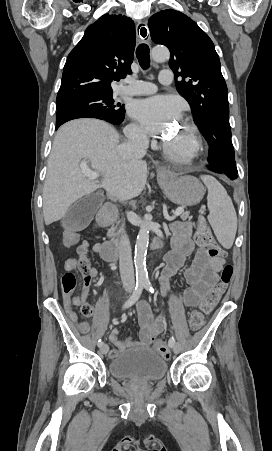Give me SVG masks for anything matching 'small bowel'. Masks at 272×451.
<instances>
[{
    "label": "small bowel",
    "instance_id": "obj_1",
    "mask_svg": "<svg viewBox=\"0 0 272 451\" xmlns=\"http://www.w3.org/2000/svg\"><path fill=\"white\" fill-rule=\"evenodd\" d=\"M172 231V247L173 251L166 255L164 258V264L159 276V284L164 294L169 291V280L177 272L182 271L184 275L187 288L183 293V303L187 307H195L199 304L203 298L206 290L209 286L218 280V273L221 271L225 264L224 257L222 260H209L208 251L201 247L195 252V243L192 239L193 226L187 221H177L171 224ZM90 245L84 241L77 247V252H84L88 256ZM95 250H99V246L95 247ZM195 252V257L191 265L187 266L186 262ZM98 276L96 269L95 274H82L83 291L82 296L88 297L90 291L91 280ZM81 296V297H82ZM71 300H64L65 307L69 316L75 312L72 310L68 303ZM77 304L80 303V299L74 300ZM138 318L141 326L140 336L138 340L127 338L120 340L117 330H112L109 339L114 348L110 351L109 357L111 359L116 358L120 353L128 348L135 346L148 347L156 338L163 332L166 325V318L164 314L159 315L156 319H152L149 306L145 302L138 304ZM92 313H82L85 316H91Z\"/></svg>",
    "mask_w": 272,
    "mask_h": 451
}]
</instances>
